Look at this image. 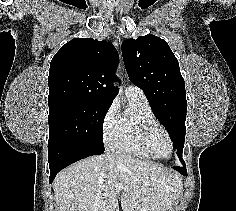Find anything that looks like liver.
I'll return each instance as SVG.
<instances>
[{"mask_svg": "<svg viewBox=\"0 0 236 211\" xmlns=\"http://www.w3.org/2000/svg\"><path fill=\"white\" fill-rule=\"evenodd\" d=\"M122 184L123 211H166L179 192L180 178L162 165L122 154L81 160L57 174L58 211H119L115 185Z\"/></svg>", "mask_w": 236, "mask_h": 211, "instance_id": "1", "label": "liver"}]
</instances>
